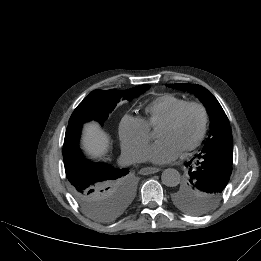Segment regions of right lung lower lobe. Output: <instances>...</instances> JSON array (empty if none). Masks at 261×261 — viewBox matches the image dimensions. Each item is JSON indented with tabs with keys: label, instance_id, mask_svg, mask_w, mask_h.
Segmentation results:
<instances>
[{
	"label": "right lung lower lobe",
	"instance_id": "obj_1",
	"mask_svg": "<svg viewBox=\"0 0 261 261\" xmlns=\"http://www.w3.org/2000/svg\"><path fill=\"white\" fill-rule=\"evenodd\" d=\"M81 128L82 123H73L66 129L63 159L68 180L76 181L79 184H95L109 177L121 175L123 172L128 174L127 169L120 170L108 164L93 163L85 159L78 145Z\"/></svg>",
	"mask_w": 261,
	"mask_h": 261
}]
</instances>
